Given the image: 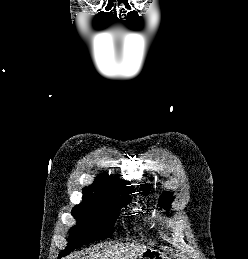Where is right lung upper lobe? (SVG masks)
Instances as JSON below:
<instances>
[{
  "label": "right lung upper lobe",
  "instance_id": "1",
  "mask_svg": "<svg viewBox=\"0 0 248 259\" xmlns=\"http://www.w3.org/2000/svg\"><path fill=\"white\" fill-rule=\"evenodd\" d=\"M128 182L117 179L113 176L102 175L97 177L92 185L83 189V197L91 198L95 196L118 197L122 193L133 190Z\"/></svg>",
  "mask_w": 248,
  "mask_h": 259
}]
</instances>
